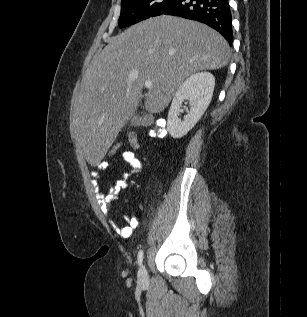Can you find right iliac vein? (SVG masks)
Wrapping results in <instances>:
<instances>
[{
  "instance_id": "63e3f726",
  "label": "right iliac vein",
  "mask_w": 307,
  "mask_h": 317,
  "mask_svg": "<svg viewBox=\"0 0 307 317\" xmlns=\"http://www.w3.org/2000/svg\"><path fill=\"white\" fill-rule=\"evenodd\" d=\"M138 283L141 286H145L149 283V276L144 266H142L138 271Z\"/></svg>"
}]
</instances>
